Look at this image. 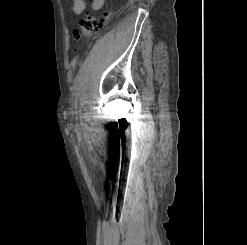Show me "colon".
<instances>
[{
	"label": "colon",
	"mask_w": 247,
	"mask_h": 245,
	"mask_svg": "<svg viewBox=\"0 0 247 245\" xmlns=\"http://www.w3.org/2000/svg\"><path fill=\"white\" fill-rule=\"evenodd\" d=\"M111 18V10L106 9L99 14L86 15L79 21V26L73 32L76 41L97 33Z\"/></svg>",
	"instance_id": "colon-1"
}]
</instances>
